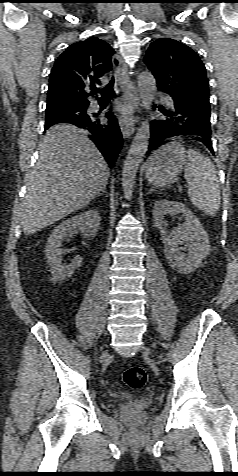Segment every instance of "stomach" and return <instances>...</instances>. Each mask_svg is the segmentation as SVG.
<instances>
[{
	"mask_svg": "<svg viewBox=\"0 0 238 476\" xmlns=\"http://www.w3.org/2000/svg\"><path fill=\"white\" fill-rule=\"evenodd\" d=\"M187 163L184 147L179 142H170L155 151L145 167L146 179L156 187L169 186Z\"/></svg>",
	"mask_w": 238,
	"mask_h": 476,
	"instance_id": "1",
	"label": "stomach"
}]
</instances>
